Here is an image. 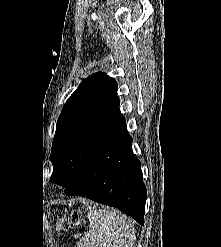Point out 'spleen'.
<instances>
[{
	"instance_id": "obj_1",
	"label": "spleen",
	"mask_w": 221,
	"mask_h": 247,
	"mask_svg": "<svg viewBox=\"0 0 221 247\" xmlns=\"http://www.w3.org/2000/svg\"><path fill=\"white\" fill-rule=\"evenodd\" d=\"M89 232L79 247H135L132 222L114 210H95L88 215Z\"/></svg>"
}]
</instances>
